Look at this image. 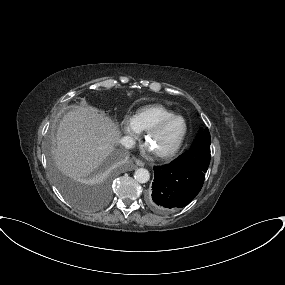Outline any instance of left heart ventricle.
Wrapping results in <instances>:
<instances>
[{"label": "left heart ventricle", "mask_w": 285, "mask_h": 285, "mask_svg": "<svg viewBox=\"0 0 285 285\" xmlns=\"http://www.w3.org/2000/svg\"><path fill=\"white\" fill-rule=\"evenodd\" d=\"M183 130V121L181 119H175L168 123L161 131L155 134L150 139L148 146L154 152L167 151L177 143Z\"/></svg>", "instance_id": "obj_1"}]
</instances>
